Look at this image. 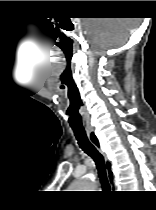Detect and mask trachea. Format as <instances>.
Returning a JSON list of instances; mask_svg holds the SVG:
<instances>
[{
    "mask_svg": "<svg viewBox=\"0 0 156 210\" xmlns=\"http://www.w3.org/2000/svg\"><path fill=\"white\" fill-rule=\"evenodd\" d=\"M74 135L80 148L95 161L102 186L109 187L105 160L102 154L90 142L85 131H74Z\"/></svg>",
    "mask_w": 156,
    "mask_h": 210,
    "instance_id": "1",
    "label": "trachea"
}]
</instances>
